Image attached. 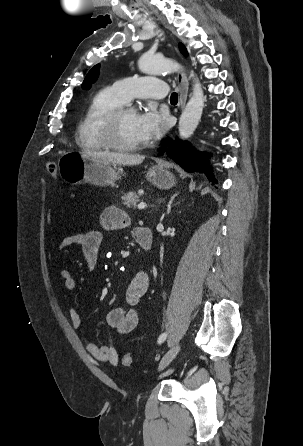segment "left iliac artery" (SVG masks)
Masks as SVG:
<instances>
[{
  "instance_id": "left-iliac-artery-1",
  "label": "left iliac artery",
  "mask_w": 303,
  "mask_h": 446,
  "mask_svg": "<svg viewBox=\"0 0 303 446\" xmlns=\"http://www.w3.org/2000/svg\"><path fill=\"white\" fill-rule=\"evenodd\" d=\"M166 337H167V333H162L158 338V343L161 344L162 342H164Z\"/></svg>"
}]
</instances>
